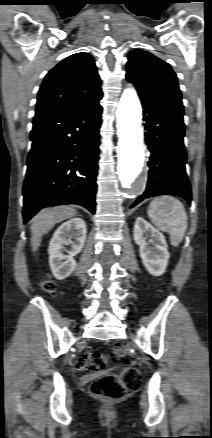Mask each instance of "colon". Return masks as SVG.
Listing matches in <instances>:
<instances>
[{"label":"colon","instance_id":"colon-1","mask_svg":"<svg viewBox=\"0 0 212 438\" xmlns=\"http://www.w3.org/2000/svg\"><path fill=\"white\" fill-rule=\"evenodd\" d=\"M42 289L47 293L55 291V284L51 280H44L41 283ZM108 356L128 363L125 348L115 342L110 344L108 354L102 350L94 351L78 362V366L90 371L99 372L106 368ZM141 383L140 372L133 366H126L120 374H105L90 384V391L93 395L115 400L124 397L129 391L135 390Z\"/></svg>","mask_w":212,"mask_h":438}]
</instances>
